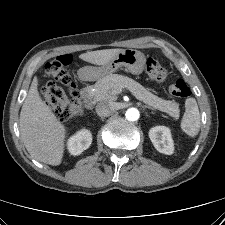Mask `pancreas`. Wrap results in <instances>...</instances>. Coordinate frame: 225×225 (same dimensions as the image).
Wrapping results in <instances>:
<instances>
[{
    "instance_id": "pancreas-1",
    "label": "pancreas",
    "mask_w": 225,
    "mask_h": 225,
    "mask_svg": "<svg viewBox=\"0 0 225 225\" xmlns=\"http://www.w3.org/2000/svg\"><path fill=\"white\" fill-rule=\"evenodd\" d=\"M123 89L129 90L138 100L148 104L150 107L165 112L174 119L179 118L180 110L178 103L157 97L127 76L119 74L108 75L99 79L93 86L85 88V91L88 97L95 101H100L116 100L117 95Z\"/></svg>"
}]
</instances>
